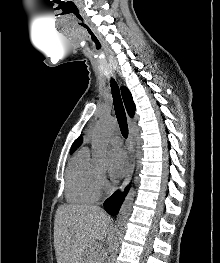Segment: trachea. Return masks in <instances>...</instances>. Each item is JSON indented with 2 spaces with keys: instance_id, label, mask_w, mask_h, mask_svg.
Listing matches in <instances>:
<instances>
[{
  "instance_id": "1",
  "label": "trachea",
  "mask_w": 220,
  "mask_h": 263,
  "mask_svg": "<svg viewBox=\"0 0 220 263\" xmlns=\"http://www.w3.org/2000/svg\"><path fill=\"white\" fill-rule=\"evenodd\" d=\"M111 91L113 96L116 118L118 120L121 133L123 137L126 139L128 137V125H127L126 113L120 96L119 87L114 79H111Z\"/></svg>"
}]
</instances>
